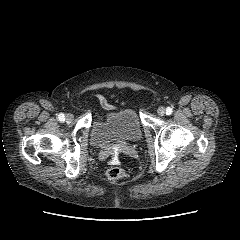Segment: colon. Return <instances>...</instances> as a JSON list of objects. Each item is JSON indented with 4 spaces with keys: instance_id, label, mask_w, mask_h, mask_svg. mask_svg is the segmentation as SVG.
Instances as JSON below:
<instances>
[{
    "instance_id": "obj_1",
    "label": "colon",
    "mask_w": 240,
    "mask_h": 240,
    "mask_svg": "<svg viewBox=\"0 0 240 240\" xmlns=\"http://www.w3.org/2000/svg\"><path fill=\"white\" fill-rule=\"evenodd\" d=\"M106 176L113 181L123 180L127 177V172L120 166L111 165L106 170Z\"/></svg>"
}]
</instances>
